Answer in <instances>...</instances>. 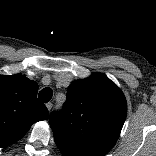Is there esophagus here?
<instances>
[{"label": "esophagus", "mask_w": 156, "mask_h": 156, "mask_svg": "<svg viewBox=\"0 0 156 156\" xmlns=\"http://www.w3.org/2000/svg\"><path fill=\"white\" fill-rule=\"evenodd\" d=\"M52 106H53V105H52V103H50V102L46 104V107H47V109H48L49 111L52 109Z\"/></svg>", "instance_id": "obj_1"}]
</instances>
